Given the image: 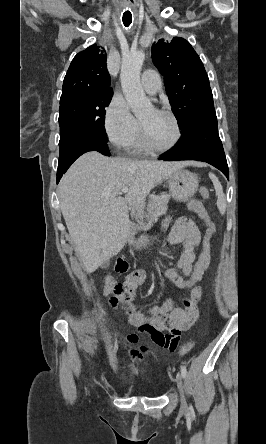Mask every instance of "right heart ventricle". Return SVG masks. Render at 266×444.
Returning a JSON list of instances; mask_svg holds the SVG:
<instances>
[{
	"label": "right heart ventricle",
	"instance_id": "right-heart-ventricle-1",
	"mask_svg": "<svg viewBox=\"0 0 266 444\" xmlns=\"http://www.w3.org/2000/svg\"><path fill=\"white\" fill-rule=\"evenodd\" d=\"M129 148H131L134 154H141L148 152V149L145 147L140 133H138L136 139Z\"/></svg>",
	"mask_w": 266,
	"mask_h": 444
}]
</instances>
